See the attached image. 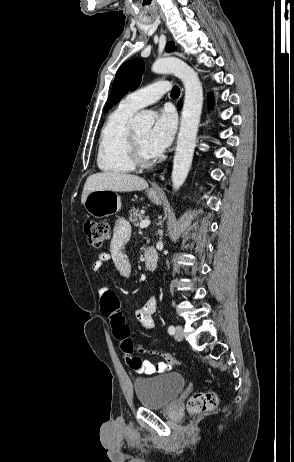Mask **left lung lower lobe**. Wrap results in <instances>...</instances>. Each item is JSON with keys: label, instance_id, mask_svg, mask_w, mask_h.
<instances>
[{"label": "left lung lower lobe", "instance_id": "left-lung-lower-lobe-1", "mask_svg": "<svg viewBox=\"0 0 294 462\" xmlns=\"http://www.w3.org/2000/svg\"><path fill=\"white\" fill-rule=\"evenodd\" d=\"M179 106L181 107V102L179 103Z\"/></svg>", "mask_w": 294, "mask_h": 462}]
</instances>
